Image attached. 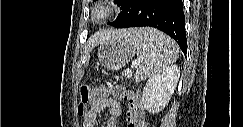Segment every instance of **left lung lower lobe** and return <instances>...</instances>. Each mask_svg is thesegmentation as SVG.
I'll use <instances>...</instances> for the list:
<instances>
[{
	"label": "left lung lower lobe",
	"instance_id": "left-lung-lower-lobe-1",
	"mask_svg": "<svg viewBox=\"0 0 243 127\" xmlns=\"http://www.w3.org/2000/svg\"><path fill=\"white\" fill-rule=\"evenodd\" d=\"M111 23L117 28L151 26L171 36L187 52L182 0H127Z\"/></svg>",
	"mask_w": 243,
	"mask_h": 127
}]
</instances>
